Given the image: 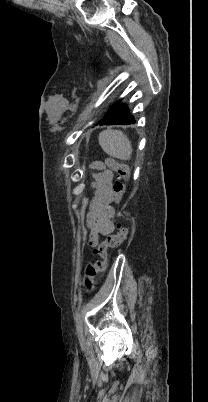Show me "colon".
<instances>
[{
  "mask_svg": "<svg viewBox=\"0 0 208 402\" xmlns=\"http://www.w3.org/2000/svg\"><path fill=\"white\" fill-rule=\"evenodd\" d=\"M106 164L110 171L114 172L117 177V181L113 185L116 203H120L126 193L127 184L130 177V167L125 162H118L113 158L106 160ZM129 226L121 225L118 232L109 235L98 246L97 253L99 260L95 262H89L84 275V284L87 289L91 290L95 281V278L106 271L108 265V249L118 247L129 236Z\"/></svg>",
  "mask_w": 208,
  "mask_h": 402,
  "instance_id": "1",
  "label": "colon"
}]
</instances>
